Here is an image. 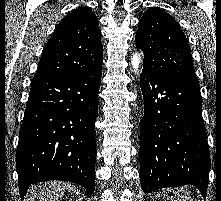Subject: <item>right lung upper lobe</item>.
<instances>
[{
  "label": "right lung upper lobe",
  "instance_id": "obj_1",
  "mask_svg": "<svg viewBox=\"0 0 221 201\" xmlns=\"http://www.w3.org/2000/svg\"><path fill=\"white\" fill-rule=\"evenodd\" d=\"M98 19L88 7L65 16L46 44L35 76L68 77L102 69Z\"/></svg>",
  "mask_w": 221,
  "mask_h": 201
}]
</instances>
